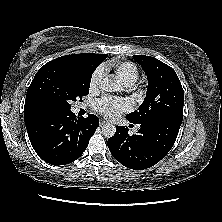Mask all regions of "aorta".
Returning a JSON list of instances; mask_svg holds the SVG:
<instances>
[{"instance_id":"obj_1","label":"aorta","mask_w":222,"mask_h":222,"mask_svg":"<svg viewBox=\"0 0 222 222\" xmlns=\"http://www.w3.org/2000/svg\"><path fill=\"white\" fill-rule=\"evenodd\" d=\"M100 88L101 90L106 92H115L120 90V85L116 82L113 77L107 76L101 82ZM102 133L107 138L113 137L116 133L115 125L106 123L102 127Z\"/></svg>"}]
</instances>
